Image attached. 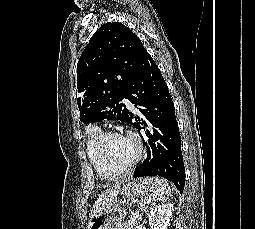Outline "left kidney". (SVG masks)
<instances>
[{
	"label": "left kidney",
	"instance_id": "left-kidney-1",
	"mask_svg": "<svg viewBox=\"0 0 255 229\" xmlns=\"http://www.w3.org/2000/svg\"><path fill=\"white\" fill-rule=\"evenodd\" d=\"M173 212V204L166 203L153 207L149 214L151 229H167Z\"/></svg>",
	"mask_w": 255,
	"mask_h": 229
}]
</instances>
